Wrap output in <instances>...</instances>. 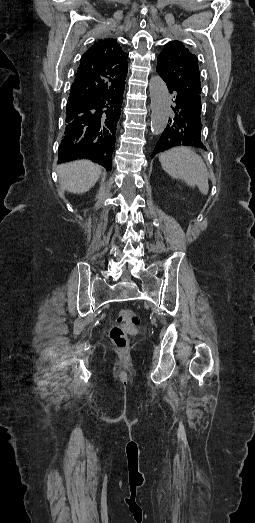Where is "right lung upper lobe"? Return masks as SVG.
Masks as SVG:
<instances>
[{"instance_id":"obj_1","label":"right lung upper lobe","mask_w":255,"mask_h":523,"mask_svg":"<svg viewBox=\"0 0 255 523\" xmlns=\"http://www.w3.org/2000/svg\"><path fill=\"white\" fill-rule=\"evenodd\" d=\"M128 55L116 40H98L81 58L75 80L71 86L66 108L65 135L59 146L58 163L88 158L104 166L112 167L117 123L121 113L125 77L128 71ZM96 98L100 101V142L94 151H83V115L79 103Z\"/></svg>"}]
</instances>
